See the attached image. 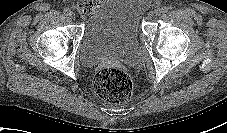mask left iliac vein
Listing matches in <instances>:
<instances>
[{
  "label": "left iliac vein",
  "mask_w": 227,
  "mask_h": 133,
  "mask_svg": "<svg viewBox=\"0 0 227 133\" xmlns=\"http://www.w3.org/2000/svg\"><path fill=\"white\" fill-rule=\"evenodd\" d=\"M154 13H155V15L159 16V15H161L163 13V10H162V8H156L154 10Z\"/></svg>",
  "instance_id": "left-iliac-vein-1"
}]
</instances>
